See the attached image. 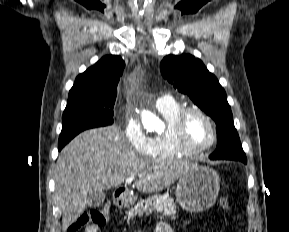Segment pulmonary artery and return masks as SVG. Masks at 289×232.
<instances>
[{"instance_id": "1", "label": "pulmonary artery", "mask_w": 289, "mask_h": 232, "mask_svg": "<svg viewBox=\"0 0 289 232\" xmlns=\"http://www.w3.org/2000/svg\"><path fill=\"white\" fill-rule=\"evenodd\" d=\"M171 100H172V97L169 95L160 96L156 100V107L157 108L163 107V106L167 105Z\"/></svg>"}]
</instances>
